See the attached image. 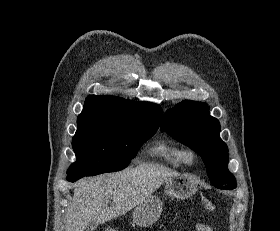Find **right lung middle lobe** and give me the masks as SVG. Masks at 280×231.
Segmentation results:
<instances>
[{"instance_id":"right-lung-middle-lobe-1","label":"right lung middle lobe","mask_w":280,"mask_h":231,"mask_svg":"<svg viewBox=\"0 0 280 231\" xmlns=\"http://www.w3.org/2000/svg\"><path fill=\"white\" fill-rule=\"evenodd\" d=\"M72 140L76 162L67 174L92 176L126 168L158 128L112 118L77 120Z\"/></svg>"}]
</instances>
